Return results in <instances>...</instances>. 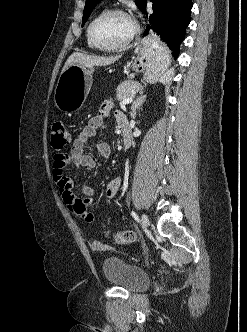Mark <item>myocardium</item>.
<instances>
[{"mask_svg": "<svg viewBox=\"0 0 247 332\" xmlns=\"http://www.w3.org/2000/svg\"><path fill=\"white\" fill-rule=\"evenodd\" d=\"M115 14L124 15V16L128 17L133 24V28H132L131 33L128 35V37L126 39H124L122 42L115 44V45H107L98 40V38L95 34V28H96V25L102 19H104L110 15H115ZM138 31H139V27H138L137 22L126 11L119 9V8L107 9V10L101 12L99 15H97L92 20V22L89 26V35H90V38L93 41V43L99 49L107 50V51H116V50H121V49L127 47L133 41V39L136 37V35L138 34Z\"/></svg>", "mask_w": 247, "mask_h": 332, "instance_id": "myocardium-1", "label": "myocardium"}]
</instances>
